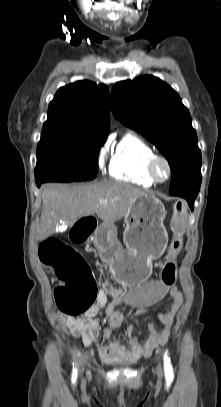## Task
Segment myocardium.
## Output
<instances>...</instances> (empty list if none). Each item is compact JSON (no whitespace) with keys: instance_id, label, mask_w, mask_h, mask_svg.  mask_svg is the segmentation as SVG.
Wrapping results in <instances>:
<instances>
[{"instance_id":"obj_1","label":"myocardium","mask_w":221,"mask_h":407,"mask_svg":"<svg viewBox=\"0 0 221 407\" xmlns=\"http://www.w3.org/2000/svg\"><path fill=\"white\" fill-rule=\"evenodd\" d=\"M159 162L164 163L167 168V176L165 179H160L156 173V167ZM147 173L155 183L163 184L169 181L172 176V165L168 158H166L165 156L155 154L148 161Z\"/></svg>"}]
</instances>
